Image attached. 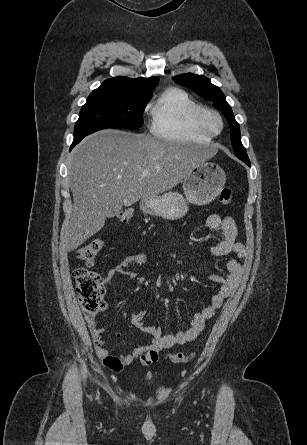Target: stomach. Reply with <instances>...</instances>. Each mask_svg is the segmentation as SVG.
<instances>
[{"instance_id":"stomach-1","label":"stomach","mask_w":307,"mask_h":445,"mask_svg":"<svg viewBox=\"0 0 307 445\" xmlns=\"http://www.w3.org/2000/svg\"><path fill=\"white\" fill-rule=\"evenodd\" d=\"M226 182V174L216 162H200L184 178L183 194L164 192L161 196L142 198L140 208L145 214L162 216L168 220L182 218L188 212V204H209Z\"/></svg>"}]
</instances>
